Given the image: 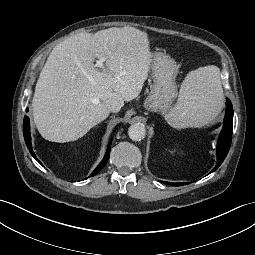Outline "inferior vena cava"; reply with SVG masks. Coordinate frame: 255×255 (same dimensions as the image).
I'll return each mask as SVG.
<instances>
[{
    "label": "inferior vena cava",
    "mask_w": 255,
    "mask_h": 255,
    "mask_svg": "<svg viewBox=\"0 0 255 255\" xmlns=\"http://www.w3.org/2000/svg\"><path fill=\"white\" fill-rule=\"evenodd\" d=\"M106 107L110 112L116 113L121 109L120 103L115 99L107 100L105 103Z\"/></svg>",
    "instance_id": "obj_1"
}]
</instances>
